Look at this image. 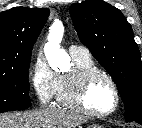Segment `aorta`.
<instances>
[{"label": "aorta", "instance_id": "aorta-1", "mask_svg": "<svg viewBox=\"0 0 142 128\" xmlns=\"http://www.w3.org/2000/svg\"><path fill=\"white\" fill-rule=\"evenodd\" d=\"M63 34L64 27L62 23H53L49 30L48 42L44 47L49 65L57 72L66 71L70 68L69 55L64 50L60 49Z\"/></svg>", "mask_w": 142, "mask_h": 128}]
</instances>
